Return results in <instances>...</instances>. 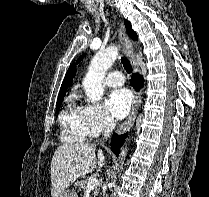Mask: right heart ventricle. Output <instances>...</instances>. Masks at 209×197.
Segmentation results:
<instances>
[{
	"label": "right heart ventricle",
	"mask_w": 209,
	"mask_h": 197,
	"mask_svg": "<svg viewBox=\"0 0 209 197\" xmlns=\"http://www.w3.org/2000/svg\"><path fill=\"white\" fill-rule=\"evenodd\" d=\"M62 129L61 138L65 142H83L90 137L84 117L83 109L76 101V96L69 97L65 109L59 117Z\"/></svg>",
	"instance_id": "1"
}]
</instances>
